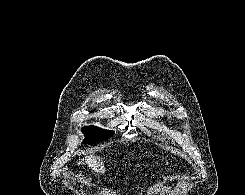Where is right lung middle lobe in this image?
Wrapping results in <instances>:
<instances>
[{"mask_svg": "<svg viewBox=\"0 0 245 195\" xmlns=\"http://www.w3.org/2000/svg\"><path fill=\"white\" fill-rule=\"evenodd\" d=\"M82 131L85 135L83 143L90 144L107 140L114 135V131L102 130L93 126L84 127Z\"/></svg>", "mask_w": 245, "mask_h": 195, "instance_id": "right-lung-middle-lobe-1", "label": "right lung middle lobe"}]
</instances>
